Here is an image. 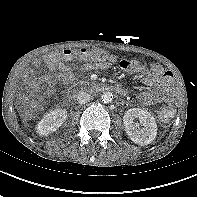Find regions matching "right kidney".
<instances>
[{
	"mask_svg": "<svg viewBox=\"0 0 197 197\" xmlns=\"http://www.w3.org/2000/svg\"><path fill=\"white\" fill-rule=\"evenodd\" d=\"M67 119V111L65 109H55L49 112L38 123L37 131L40 135L47 136L55 132Z\"/></svg>",
	"mask_w": 197,
	"mask_h": 197,
	"instance_id": "right-kidney-1",
	"label": "right kidney"
}]
</instances>
